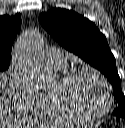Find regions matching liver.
Segmentation results:
<instances>
[{"label":"liver","instance_id":"liver-1","mask_svg":"<svg viewBox=\"0 0 125 128\" xmlns=\"http://www.w3.org/2000/svg\"><path fill=\"white\" fill-rule=\"evenodd\" d=\"M11 98L9 91L2 80H0V128L12 127V115L10 110Z\"/></svg>","mask_w":125,"mask_h":128}]
</instances>
